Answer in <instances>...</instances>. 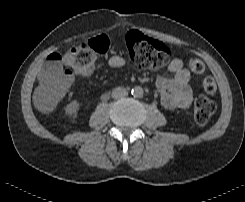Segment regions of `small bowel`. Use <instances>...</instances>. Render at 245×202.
<instances>
[{
    "label": "small bowel",
    "mask_w": 245,
    "mask_h": 202,
    "mask_svg": "<svg viewBox=\"0 0 245 202\" xmlns=\"http://www.w3.org/2000/svg\"><path fill=\"white\" fill-rule=\"evenodd\" d=\"M125 64V58L119 55H114L108 60V65L111 68H120ZM168 71L171 72L173 76L170 77L165 74H160L156 80V86L161 94V104L168 110L189 107L193 96L189 84L191 80L189 70L184 67L182 59L174 58L168 65ZM91 72L92 69H89L84 75H88ZM40 86L41 82L37 87V94Z\"/></svg>",
    "instance_id": "obj_1"
}]
</instances>
